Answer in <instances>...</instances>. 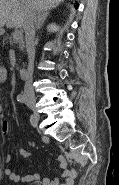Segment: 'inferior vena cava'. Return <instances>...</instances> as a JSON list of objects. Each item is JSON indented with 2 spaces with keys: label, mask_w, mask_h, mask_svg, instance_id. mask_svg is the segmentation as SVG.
<instances>
[{
  "label": "inferior vena cava",
  "mask_w": 119,
  "mask_h": 185,
  "mask_svg": "<svg viewBox=\"0 0 119 185\" xmlns=\"http://www.w3.org/2000/svg\"><path fill=\"white\" fill-rule=\"evenodd\" d=\"M35 19L36 14L34 9L31 7L30 3L28 2L25 3L23 29L25 32L26 49L28 54V68H27L28 74L24 85V96L32 99H34L35 97L32 86V74L35 58V47H34Z\"/></svg>",
  "instance_id": "602c4592"
}]
</instances>
